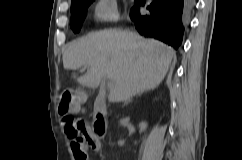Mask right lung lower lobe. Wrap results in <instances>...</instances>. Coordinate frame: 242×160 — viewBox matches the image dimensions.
<instances>
[{
    "mask_svg": "<svg viewBox=\"0 0 242 160\" xmlns=\"http://www.w3.org/2000/svg\"><path fill=\"white\" fill-rule=\"evenodd\" d=\"M149 14L140 15L139 6L145 0H136L130 18L136 29L146 36L159 39L175 49L181 43L184 26L196 0H150Z\"/></svg>",
    "mask_w": 242,
    "mask_h": 160,
    "instance_id": "1",
    "label": "right lung lower lobe"
}]
</instances>
